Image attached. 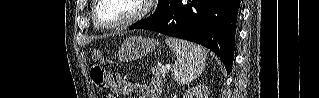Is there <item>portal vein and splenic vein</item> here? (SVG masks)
I'll return each instance as SVG.
<instances>
[{
    "mask_svg": "<svg viewBox=\"0 0 319 98\" xmlns=\"http://www.w3.org/2000/svg\"><path fill=\"white\" fill-rule=\"evenodd\" d=\"M161 67H162L163 70H169L171 68L170 65H166V66H162L161 65Z\"/></svg>",
    "mask_w": 319,
    "mask_h": 98,
    "instance_id": "portal-vein-and-splenic-vein-1",
    "label": "portal vein and splenic vein"
}]
</instances>
